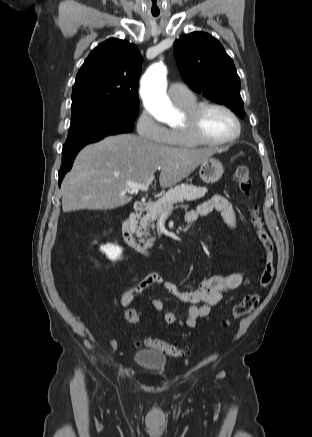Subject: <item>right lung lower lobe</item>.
Wrapping results in <instances>:
<instances>
[{
    "label": "right lung lower lobe",
    "mask_w": 312,
    "mask_h": 437,
    "mask_svg": "<svg viewBox=\"0 0 312 437\" xmlns=\"http://www.w3.org/2000/svg\"><path fill=\"white\" fill-rule=\"evenodd\" d=\"M82 148L72 151V152H68V153H63L62 155V165L59 171V186L61 185V182L63 180V177L65 176V174L67 173V171H69L73 165L74 162V158L76 157L77 153L81 150Z\"/></svg>",
    "instance_id": "right-lung-lower-lobe-1"
}]
</instances>
